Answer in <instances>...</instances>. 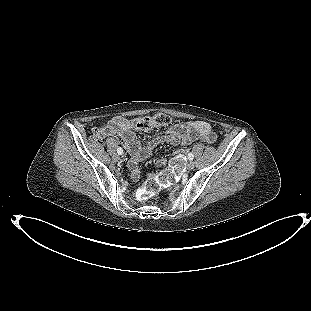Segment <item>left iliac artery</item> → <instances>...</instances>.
Segmentation results:
<instances>
[{
    "label": "left iliac artery",
    "mask_w": 311,
    "mask_h": 311,
    "mask_svg": "<svg viewBox=\"0 0 311 311\" xmlns=\"http://www.w3.org/2000/svg\"><path fill=\"white\" fill-rule=\"evenodd\" d=\"M188 158H189V160H193L194 155H193L192 153H189V154H188Z\"/></svg>",
    "instance_id": "1"
}]
</instances>
